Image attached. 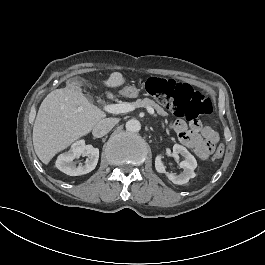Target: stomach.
Here are the masks:
<instances>
[{
	"label": "stomach",
	"instance_id": "stomach-1",
	"mask_svg": "<svg viewBox=\"0 0 265 265\" xmlns=\"http://www.w3.org/2000/svg\"><path fill=\"white\" fill-rule=\"evenodd\" d=\"M122 93L127 97L136 98L139 96V89L134 86H127Z\"/></svg>",
	"mask_w": 265,
	"mask_h": 265
}]
</instances>
